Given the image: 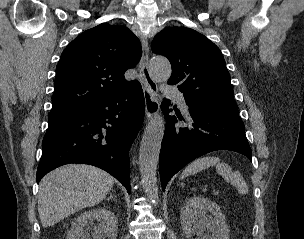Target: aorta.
Listing matches in <instances>:
<instances>
[{
    "instance_id": "762f6f07",
    "label": "aorta",
    "mask_w": 304,
    "mask_h": 239,
    "mask_svg": "<svg viewBox=\"0 0 304 239\" xmlns=\"http://www.w3.org/2000/svg\"><path fill=\"white\" fill-rule=\"evenodd\" d=\"M151 75L157 81H166L171 76L170 62L161 56H156L150 61ZM164 120L159 114H155L145 128L140 150L139 169L141 183L149 200H158L157 164L164 135Z\"/></svg>"
}]
</instances>
